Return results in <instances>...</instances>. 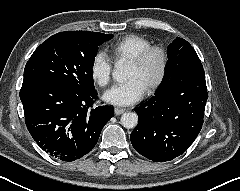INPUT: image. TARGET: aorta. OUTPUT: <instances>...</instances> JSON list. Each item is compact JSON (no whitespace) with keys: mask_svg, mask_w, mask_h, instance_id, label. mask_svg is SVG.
<instances>
[{"mask_svg":"<svg viewBox=\"0 0 240 191\" xmlns=\"http://www.w3.org/2000/svg\"><path fill=\"white\" fill-rule=\"evenodd\" d=\"M113 79L117 82H124L127 77L126 65L122 62H117L114 65L112 72ZM138 116L135 112H126L121 116V124L125 128H134L137 126Z\"/></svg>","mask_w":240,"mask_h":191,"instance_id":"1","label":"aorta"}]
</instances>
